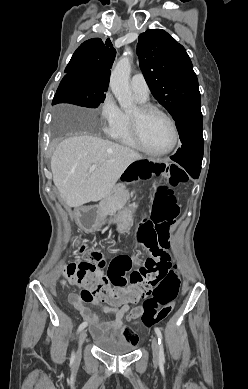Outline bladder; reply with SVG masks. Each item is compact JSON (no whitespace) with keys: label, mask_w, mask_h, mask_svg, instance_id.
Masks as SVG:
<instances>
[{"label":"bladder","mask_w":248,"mask_h":389,"mask_svg":"<svg viewBox=\"0 0 248 389\" xmlns=\"http://www.w3.org/2000/svg\"><path fill=\"white\" fill-rule=\"evenodd\" d=\"M92 341L97 348L114 356L128 355L136 349V344L125 335H109L105 332H95L93 333Z\"/></svg>","instance_id":"31cf9c89"}]
</instances>
